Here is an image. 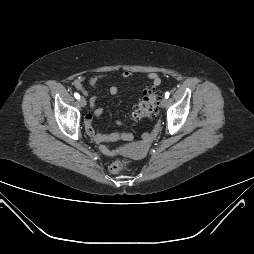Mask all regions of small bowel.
<instances>
[{
  "label": "small bowel",
  "mask_w": 254,
  "mask_h": 254,
  "mask_svg": "<svg viewBox=\"0 0 254 254\" xmlns=\"http://www.w3.org/2000/svg\"><path fill=\"white\" fill-rule=\"evenodd\" d=\"M132 72L130 71H123L121 73V77L122 78H130L132 76ZM148 79L152 81V83L155 86H158L161 83V79L159 77L158 74L156 73H149L147 75ZM103 79V76H91L88 78V84L91 87H95L97 86V84ZM83 80L84 78H78L74 81V86L75 88H77L78 90L82 91L85 93V89L83 86ZM109 92L111 95H116L119 92V87L118 86H111L109 89ZM90 109L92 112H87L84 118V123H85V129H86V133L88 134V136H90L94 141H96L97 143H103L106 141H112L115 140L117 138H122V139H128V136L125 135L122 132H115L113 134H102L100 133L93 125L94 122V118L99 117L102 112L103 109L101 107H97V97L96 96H92L90 98ZM117 123H120L119 121H117ZM149 142V135H146L143 137V140L141 142V145L136 147L137 149H141L143 148L145 145H147V143ZM101 150L109 155V156H113L115 154L118 153L117 150H111L109 148H107L105 145H101Z\"/></svg>",
  "instance_id": "small-bowel-1"
}]
</instances>
